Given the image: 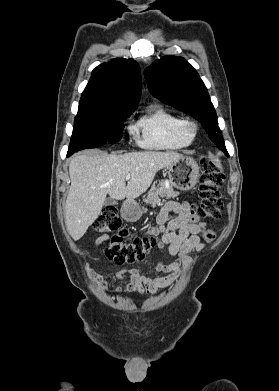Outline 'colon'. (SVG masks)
Instances as JSON below:
<instances>
[{"label": "colon", "mask_w": 279, "mask_h": 391, "mask_svg": "<svg viewBox=\"0 0 279 391\" xmlns=\"http://www.w3.org/2000/svg\"><path fill=\"white\" fill-rule=\"evenodd\" d=\"M201 176L199 182L200 200L191 205L194 219H218L223 209V197L220 189L225 181L221 166L212 158L205 157L200 161ZM94 230L97 233L114 234L108 238L105 255L118 264L133 263L145 259L157 245L156 236H141L127 240L128 230L114 207H107L96 219ZM206 241L215 239L213 231L203 234Z\"/></svg>", "instance_id": "5ec220e1"}]
</instances>
